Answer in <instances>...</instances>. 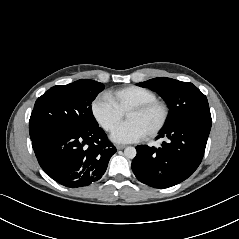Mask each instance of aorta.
Instances as JSON below:
<instances>
[{"instance_id": "obj_1", "label": "aorta", "mask_w": 239, "mask_h": 239, "mask_svg": "<svg viewBox=\"0 0 239 239\" xmlns=\"http://www.w3.org/2000/svg\"><path fill=\"white\" fill-rule=\"evenodd\" d=\"M136 154H137V151H136L135 147L128 146L124 150V155L128 159L135 158Z\"/></svg>"}]
</instances>
